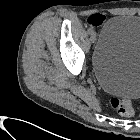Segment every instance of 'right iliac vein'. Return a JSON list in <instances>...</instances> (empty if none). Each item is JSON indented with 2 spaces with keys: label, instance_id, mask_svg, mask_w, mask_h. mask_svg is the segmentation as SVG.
Returning a JSON list of instances; mask_svg holds the SVG:
<instances>
[{
  "label": "right iliac vein",
  "instance_id": "63e3f726",
  "mask_svg": "<svg viewBox=\"0 0 140 140\" xmlns=\"http://www.w3.org/2000/svg\"><path fill=\"white\" fill-rule=\"evenodd\" d=\"M90 40H91L92 43H95V41H96V34L94 32L91 33Z\"/></svg>",
  "mask_w": 140,
  "mask_h": 140
}]
</instances>
